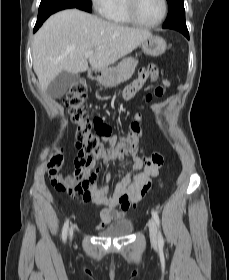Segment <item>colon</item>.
Masks as SVG:
<instances>
[{
    "instance_id": "5ec220e1",
    "label": "colon",
    "mask_w": 229,
    "mask_h": 280,
    "mask_svg": "<svg viewBox=\"0 0 229 280\" xmlns=\"http://www.w3.org/2000/svg\"><path fill=\"white\" fill-rule=\"evenodd\" d=\"M87 97V86L85 81L78 80L73 82L67 93L66 103L69 107L71 120L76 124L75 141L79 151L78 163L87 169V177L84 187L92 185L97 180V173L91 170L92 163L89 157L101 159L105 162H112L117 156L124 153L133 152L142 137L141 119L137 117L131 124L129 131L122 137L115 148L105 146L100 139L101 134L111 132L110 125L102 120L88 118L84 103ZM92 128H96L98 133H92ZM64 162L63 151L60 146L56 147L52 154L48 169L51 178H57V172ZM147 170L156 172L164 163L163 155L153 152L144 161ZM61 189L70 192L75 191V187L68 183H59ZM151 187V182L144 183L139 195L144 196Z\"/></svg>"
}]
</instances>
